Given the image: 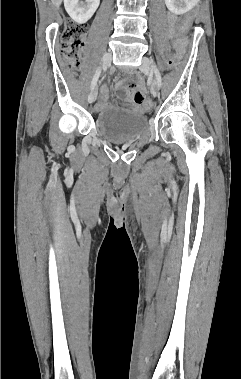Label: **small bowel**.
<instances>
[{
	"mask_svg": "<svg viewBox=\"0 0 241 379\" xmlns=\"http://www.w3.org/2000/svg\"><path fill=\"white\" fill-rule=\"evenodd\" d=\"M170 25L173 27L176 23V18L173 15H169L168 17ZM137 86L136 81L130 80L127 83L125 81H120L116 84V90L124 98L127 102L128 107L137 110H145L143 108L142 99L145 98L144 88L142 85ZM108 89L106 87L102 88V99L96 104L95 110L99 111L107 106Z\"/></svg>",
	"mask_w": 241,
	"mask_h": 379,
	"instance_id": "small-bowel-1",
	"label": "small bowel"
}]
</instances>
